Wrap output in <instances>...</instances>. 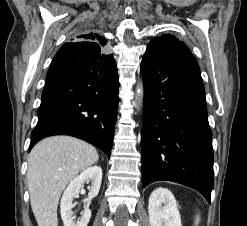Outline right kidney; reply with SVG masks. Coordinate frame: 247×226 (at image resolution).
<instances>
[{
    "instance_id": "obj_1",
    "label": "right kidney",
    "mask_w": 247,
    "mask_h": 226,
    "mask_svg": "<svg viewBox=\"0 0 247 226\" xmlns=\"http://www.w3.org/2000/svg\"><path fill=\"white\" fill-rule=\"evenodd\" d=\"M91 182L89 186L88 198L86 199V206L84 211L81 213L80 219L74 221L72 209L73 199L78 197L80 189L85 182ZM102 181V169L99 166H93L85 169L80 175L74 177L65 189L61 198V217L64 226H87L91 218V211L89 205L91 200L96 197L99 193Z\"/></svg>"
}]
</instances>
